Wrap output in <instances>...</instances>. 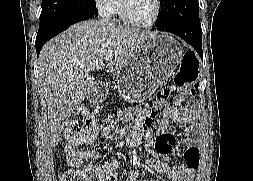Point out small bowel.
Instances as JSON below:
<instances>
[{"instance_id": "1", "label": "small bowel", "mask_w": 253, "mask_h": 181, "mask_svg": "<svg viewBox=\"0 0 253 181\" xmlns=\"http://www.w3.org/2000/svg\"><path fill=\"white\" fill-rule=\"evenodd\" d=\"M186 97L178 94L173 98L172 106L163 110L162 117L157 126L151 125L145 110L139 108H129L124 111L125 120H135L131 135L127 138V144L135 147L144 138L147 146L155 143L159 157L149 161L148 165L158 174L164 175L169 181H193L199 166V128L197 119L198 110L194 103L183 106ZM172 122L180 125L190 124L188 136L182 141L186 147L184 153V163L170 165L165 158L171 152L175 143L174 129ZM115 129V123L111 119H106L102 124V134L109 136ZM70 156L68 163L74 172L84 175L87 181H113L119 176L120 163L117 160H109L104 163L95 164L94 161L100 157V153L95 150L69 149ZM87 161L86 164L83 163ZM137 180V165L130 163L125 181ZM149 181H156L151 179Z\"/></svg>"}]
</instances>
